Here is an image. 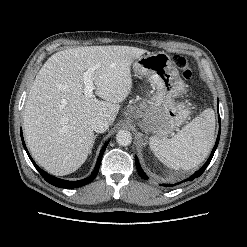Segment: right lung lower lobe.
<instances>
[{"mask_svg":"<svg viewBox=\"0 0 247 247\" xmlns=\"http://www.w3.org/2000/svg\"><path fill=\"white\" fill-rule=\"evenodd\" d=\"M21 139H22V143H23V146L30 158V160L32 161L33 165L35 166V168L38 170V172L42 175V177L50 184L54 185V186H57V187H60V188H77V187H81V186H84L88 183H90L91 181H93L95 179V177L97 176V173L99 171V167H100V163H101V159H102V155L108 145V142L103 146L100 154H99V157H98V160H97V163H96V166H95V169L93 171V173L85 178V179H82V180H78V181H67V180H62V179H59V178H56L52 175H49L48 173H46L45 171H43L38 165H36V163H34L33 159L31 158L26 146H25V142H24V139H23V135H22V132H21Z\"/></svg>","mask_w":247,"mask_h":247,"instance_id":"1","label":"right lung lower lobe"}]
</instances>
